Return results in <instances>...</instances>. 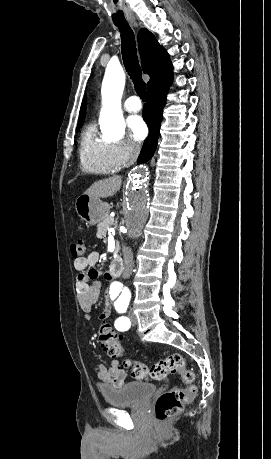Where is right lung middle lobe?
Here are the masks:
<instances>
[{
  "label": "right lung middle lobe",
  "instance_id": "right-lung-middle-lobe-1",
  "mask_svg": "<svg viewBox=\"0 0 271 459\" xmlns=\"http://www.w3.org/2000/svg\"><path fill=\"white\" fill-rule=\"evenodd\" d=\"M82 121H83V120H79V124H78V126H77V129H79V127L81 126V122H82Z\"/></svg>",
  "mask_w": 271,
  "mask_h": 459
}]
</instances>
